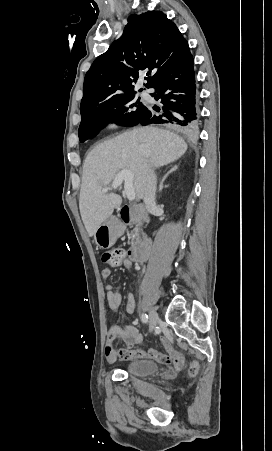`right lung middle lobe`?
<instances>
[{
	"label": "right lung middle lobe",
	"mask_w": 272,
	"mask_h": 451,
	"mask_svg": "<svg viewBox=\"0 0 272 451\" xmlns=\"http://www.w3.org/2000/svg\"><path fill=\"white\" fill-rule=\"evenodd\" d=\"M139 99L136 100L135 95L126 96L82 112L79 126L80 142L92 139L110 122L123 126L136 125L148 111Z\"/></svg>",
	"instance_id": "dd1d6c3e"
}]
</instances>
